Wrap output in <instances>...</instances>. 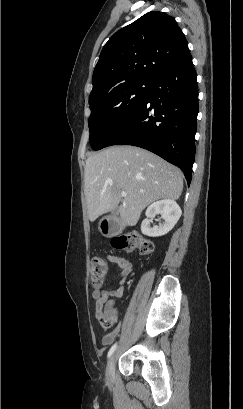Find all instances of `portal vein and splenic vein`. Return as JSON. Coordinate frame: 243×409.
Instances as JSON below:
<instances>
[{
	"instance_id": "18ae733b",
	"label": "portal vein and splenic vein",
	"mask_w": 243,
	"mask_h": 409,
	"mask_svg": "<svg viewBox=\"0 0 243 409\" xmlns=\"http://www.w3.org/2000/svg\"><path fill=\"white\" fill-rule=\"evenodd\" d=\"M121 196H122V197H126V196H127V193H126L125 191H122V192H121Z\"/></svg>"
}]
</instances>
